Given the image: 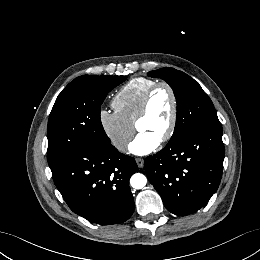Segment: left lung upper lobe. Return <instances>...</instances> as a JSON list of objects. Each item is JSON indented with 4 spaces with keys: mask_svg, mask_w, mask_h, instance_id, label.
<instances>
[{
    "mask_svg": "<svg viewBox=\"0 0 260 260\" xmlns=\"http://www.w3.org/2000/svg\"><path fill=\"white\" fill-rule=\"evenodd\" d=\"M148 76L164 79L171 86L176 97V125L169 142L180 139L197 127L220 123L208 95L184 72L173 68H162L150 71Z\"/></svg>",
    "mask_w": 260,
    "mask_h": 260,
    "instance_id": "1",
    "label": "left lung upper lobe"
}]
</instances>
